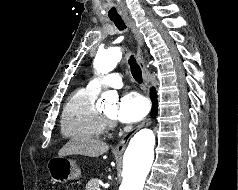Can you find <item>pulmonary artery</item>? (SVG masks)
<instances>
[{"instance_id": "1", "label": "pulmonary artery", "mask_w": 238, "mask_h": 190, "mask_svg": "<svg viewBox=\"0 0 238 190\" xmlns=\"http://www.w3.org/2000/svg\"><path fill=\"white\" fill-rule=\"evenodd\" d=\"M123 86L122 77L119 73H110L108 75L95 78L88 84L93 90L100 91L104 87H112L119 89Z\"/></svg>"}]
</instances>
